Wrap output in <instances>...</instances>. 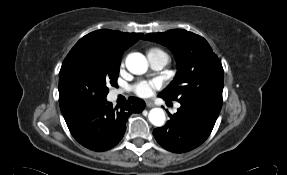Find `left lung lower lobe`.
<instances>
[{"label":"left lung lower lobe","instance_id":"0a47b994","mask_svg":"<svg viewBox=\"0 0 287 175\" xmlns=\"http://www.w3.org/2000/svg\"><path fill=\"white\" fill-rule=\"evenodd\" d=\"M169 117L163 127L154 129L153 135L163 148L175 153L188 152L201 145L216 122L186 105H181L177 113Z\"/></svg>","mask_w":287,"mask_h":175}]
</instances>
